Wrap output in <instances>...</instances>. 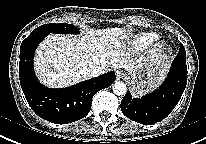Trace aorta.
Instances as JSON below:
<instances>
[{
    "mask_svg": "<svg viewBox=\"0 0 206 144\" xmlns=\"http://www.w3.org/2000/svg\"><path fill=\"white\" fill-rule=\"evenodd\" d=\"M113 92L118 96H123L127 92V87L123 82L117 81L113 84Z\"/></svg>",
    "mask_w": 206,
    "mask_h": 144,
    "instance_id": "aorta-1",
    "label": "aorta"
}]
</instances>
